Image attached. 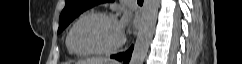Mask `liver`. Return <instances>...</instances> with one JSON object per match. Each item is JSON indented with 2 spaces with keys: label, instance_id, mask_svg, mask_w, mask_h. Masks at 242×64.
<instances>
[{
  "label": "liver",
  "instance_id": "1",
  "mask_svg": "<svg viewBox=\"0 0 242 64\" xmlns=\"http://www.w3.org/2000/svg\"><path fill=\"white\" fill-rule=\"evenodd\" d=\"M81 64H118L116 61L109 60L107 58H92L80 61Z\"/></svg>",
  "mask_w": 242,
  "mask_h": 64
}]
</instances>
